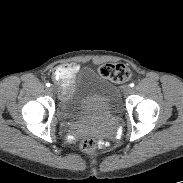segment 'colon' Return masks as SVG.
<instances>
[{
  "instance_id": "colon-1",
  "label": "colon",
  "mask_w": 183,
  "mask_h": 183,
  "mask_svg": "<svg viewBox=\"0 0 183 183\" xmlns=\"http://www.w3.org/2000/svg\"><path fill=\"white\" fill-rule=\"evenodd\" d=\"M99 73L102 77L116 83H123L130 79V69L122 63H105L99 67ZM55 81L60 85V88L69 84L72 80L70 72L57 71L54 75ZM97 146V142L92 137L85 138L81 143V149L84 153H92Z\"/></svg>"
}]
</instances>
